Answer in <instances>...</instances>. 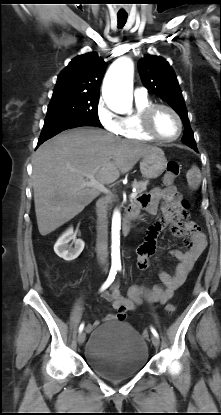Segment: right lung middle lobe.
Here are the masks:
<instances>
[{
    "mask_svg": "<svg viewBox=\"0 0 221 415\" xmlns=\"http://www.w3.org/2000/svg\"><path fill=\"white\" fill-rule=\"evenodd\" d=\"M98 94L63 92L53 94L48 105L47 116L63 118H80L102 127L97 113Z\"/></svg>",
    "mask_w": 221,
    "mask_h": 415,
    "instance_id": "dd1d6c3e",
    "label": "right lung middle lobe"
}]
</instances>
